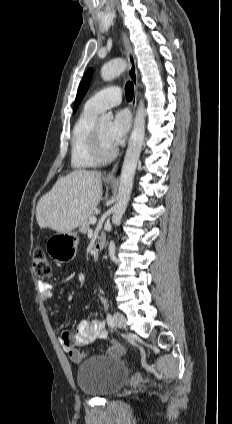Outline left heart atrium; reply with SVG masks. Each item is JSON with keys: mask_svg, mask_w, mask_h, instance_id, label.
I'll list each match as a JSON object with an SVG mask.
<instances>
[{"mask_svg": "<svg viewBox=\"0 0 232 424\" xmlns=\"http://www.w3.org/2000/svg\"><path fill=\"white\" fill-rule=\"evenodd\" d=\"M131 125V118L127 111L117 112L110 124L108 138L111 145L116 148L126 138Z\"/></svg>", "mask_w": 232, "mask_h": 424, "instance_id": "obj_1", "label": "left heart atrium"}]
</instances>
